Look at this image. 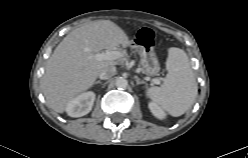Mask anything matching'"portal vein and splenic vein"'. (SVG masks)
I'll use <instances>...</instances> for the list:
<instances>
[{"label":"portal vein and splenic vein","mask_w":248,"mask_h":158,"mask_svg":"<svg viewBox=\"0 0 248 158\" xmlns=\"http://www.w3.org/2000/svg\"><path fill=\"white\" fill-rule=\"evenodd\" d=\"M120 57H121V52L119 51H107V52L97 53L95 55V58L97 60H116ZM155 83L159 84L160 80L155 79Z\"/></svg>","instance_id":"18ae733b"}]
</instances>
